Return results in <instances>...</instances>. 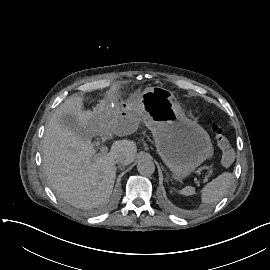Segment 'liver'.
Wrapping results in <instances>:
<instances>
[{"label": "liver", "mask_w": 270, "mask_h": 270, "mask_svg": "<svg viewBox=\"0 0 270 270\" xmlns=\"http://www.w3.org/2000/svg\"><path fill=\"white\" fill-rule=\"evenodd\" d=\"M114 85L106 92L101 109L82 111L83 98L71 97L62 103L45 130L43 138V163L45 174L60 198L77 208H93L109 200L116 177V157H125L128 164L134 161L137 147L133 141H115L107 155L96 151L85 131L102 129L125 136L137 131L143 109L137 104L140 93L128 100L126 116L110 120V104L118 99ZM106 106V107H105ZM73 115L83 126L84 132L74 133L65 126L62 116Z\"/></svg>", "instance_id": "1"}]
</instances>
